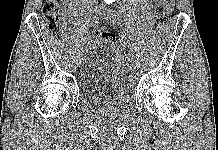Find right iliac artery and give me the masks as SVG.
Returning a JSON list of instances; mask_svg holds the SVG:
<instances>
[{"instance_id": "obj_1", "label": "right iliac artery", "mask_w": 218, "mask_h": 150, "mask_svg": "<svg viewBox=\"0 0 218 150\" xmlns=\"http://www.w3.org/2000/svg\"><path fill=\"white\" fill-rule=\"evenodd\" d=\"M98 23H99L98 19L93 18V19H92V22H91V26L95 27V26L98 25ZM91 26L88 28L90 31L93 29ZM90 38H91V37H90L89 35H88L87 37H85V39H83L84 42L82 41V42L80 43L81 46L84 44V45L86 46V48H87V45H86L85 43H87Z\"/></svg>"}]
</instances>
